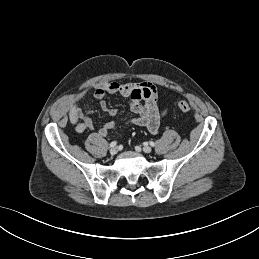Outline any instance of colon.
I'll use <instances>...</instances> for the list:
<instances>
[{"instance_id":"colon-1","label":"colon","mask_w":259,"mask_h":259,"mask_svg":"<svg viewBox=\"0 0 259 259\" xmlns=\"http://www.w3.org/2000/svg\"><path fill=\"white\" fill-rule=\"evenodd\" d=\"M178 107L183 112H188L191 109L190 104L187 101H180Z\"/></svg>"}]
</instances>
